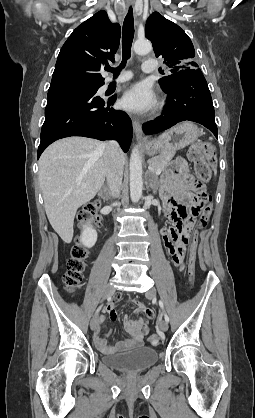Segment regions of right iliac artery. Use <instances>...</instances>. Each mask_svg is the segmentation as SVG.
Instances as JSON below:
<instances>
[{
    "label": "right iliac artery",
    "mask_w": 255,
    "mask_h": 418,
    "mask_svg": "<svg viewBox=\"0 0 255 418\" xmlns=\"http://www.w3.org/2000/svg\"><path fill=\"white\" fill-rule=\"evenodd\" d=\"M102 308V305H100L98 308H97V310H96V314L100 311V309Z\"/></svg>",
    "instance_id": "obj_1"
}]
</instances>
